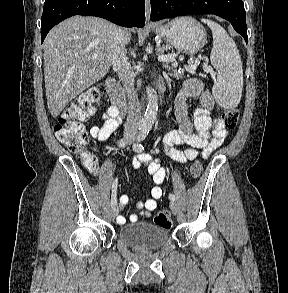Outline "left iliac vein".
<instances>
[{
	"mask_svg": "<svg viewBox=\"0 0 288 293\" xmlns=\"http://www.w3.org/2000/svg\"><path fill=\"white\" fill-rule=\"evenodd\" d=\"M170 209L174 214L178 213V205L175 201L170 202Z\"/></svg>",
	"mask_w": 288,
	"mask_h": 293,
	"instance_id": "1",
	"label": "left iliac vein"
}]
</instances>
